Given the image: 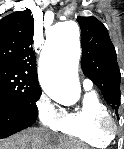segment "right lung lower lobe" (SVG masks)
I'll use <instances>...</instances> for the list:
<instances>
[{
	"instance_id": "right-lung-lower-lobe-1",
	"label": "right lung lower lobe",
	"mask_w": 124,
	"mask_h": 149,
	"mask_svg": "<svg viewBox=\"0 0 124 149\" xmlns=\"http://www.w3.org/2000/svg\"><path fill=\"white\" fill-rule=\"evenodd\" d=\"M37 116L23 104L0 99V139L32 126Z\"/></svg>"
}]
</instances>
